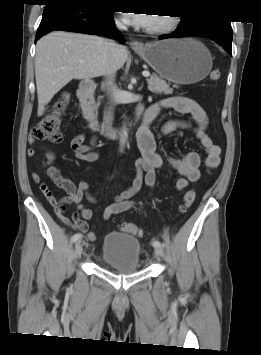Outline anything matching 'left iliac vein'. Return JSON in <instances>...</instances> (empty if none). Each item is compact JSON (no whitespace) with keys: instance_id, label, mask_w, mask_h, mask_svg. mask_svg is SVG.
<instances>
[{"instance_id":"1","label":"left iliac vein","mask_w":261,"mask_h":355,"mask_svg":"<svg viewBox=\"0 0 261 355\" xmlns=\"http://www.w3.org/2000/svg\"><path fill=\"white\" fill-rule=\"evenodd\" d=\"M155 254L158 257H163L164 256V251L161 247H155Z\"/></svg>"}]
</instances>
